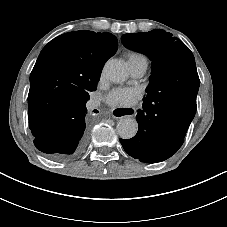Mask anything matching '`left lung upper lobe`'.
Returning a JSON list of instances; mask_svg holds the SVG:
<instances>
[{"instance_id":"5c2ea615","label":"left lung upper lobe","mask_w":227,"mask_h":227,"mask_svg":"<svg viewBox=\"0 0 227 227\" xmlns=\"http://www.w3.org/2000/svg\"><path fill=\"white\" fill-rule=\"evenodd\" d=\"M125 47L144 53L152 60V74L146 89L149 100L170 96L180 85L199 79L190 49L177 37L164 30L124 34Z\"/></svg>"}]
</instances>
